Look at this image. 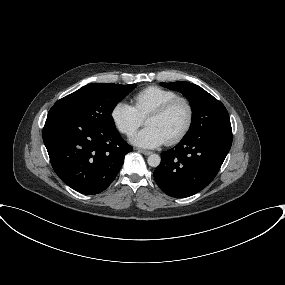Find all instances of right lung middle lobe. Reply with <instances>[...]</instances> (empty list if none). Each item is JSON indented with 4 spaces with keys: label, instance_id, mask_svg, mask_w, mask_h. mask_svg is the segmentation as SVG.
<instances>
[{
    "label": "right lung middle lobe",
    "instance_id": "1",
    "mask_svg": "<svg viewBox=\"0 0 285 285\" xmlns=\"http://www.w3.org/2000/svg\"><path fill=\"white\" fill-rule=\"evenodd\" d=\"M135 87L136 84H89L60 99L50 110L72 113L100 129H115L112 111Z\"/></svg>",
    "mask_w": 285,
    "mask_h": 285
}]
</instances>
